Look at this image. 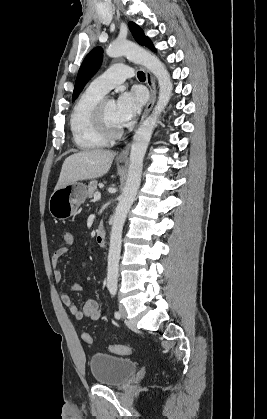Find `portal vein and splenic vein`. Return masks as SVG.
<instances>
[{"label":"portal vein and splenic vein","mask_w":267,"mask_h":419,"mask_svg":"<svg viewBox=\"0 0 267 419\" xmlns=\"http://www.w3.org/2000/svg\"><path fill=\"white\" fill-rule=\"evenodd\" d=\"M101 198V193L100 192H96L94 194V200H99Z\"/></svg>","instance_id":"1"}]
</instances>
